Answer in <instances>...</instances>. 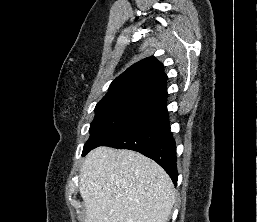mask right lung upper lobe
<instances>
[{"label": "right lung upper lobe", "mask_w": 257, "mask_h": 222, "mask_svg": "<svg viewBox=\"0 0 257 222\" xmlns=\"http://www.w3.org/2000/svg\"><path fill=\"white\" fill-rule=\"evenodd\" d=\"M167 76L155 57L145 58L113 80L101 101L140 99L166 107Z\"/></svg>", "instance_id": "cb5924a9"}]
</instances>
